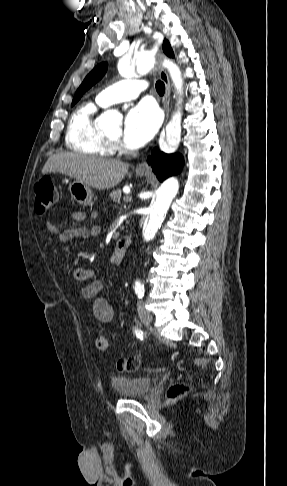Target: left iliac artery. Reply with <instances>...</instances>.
Returning <instances> with one entry per match:
<instances>
[{
	"mask_svg": "<svg viewBox=\"0 0 287 486\" xmlns=\"http://www.w3.org/2000/svg\"><path fill=\"white\" fill-rule=\"evenodd\" d=\"M144 286L142 285H137L135 287V293L136 295L138 296V298H142L144 296ZM135 333H136V336L138 338H140L141 340L143 339V335H142V332L138 331V330H135Z\"/></svg>",
	"mask_w": 287,
	"mask_h": 486,
	"instance_id": "left-iliac-artery-1",
	"label": "left iliac artery"
}]
</instances>
